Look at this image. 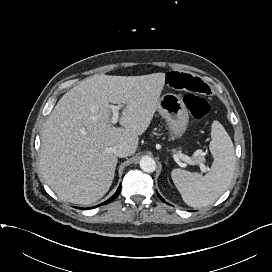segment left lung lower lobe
<instances>
[{"mask_svg":"<svg viewBox=\"0 0 272 272\" xmlns=\"http://www.w3.org/2000/svg\"><path fill=\"white\" fill-rule=\"evenodd\" d=\"M157 195H158V197L162 200V201H164L163 199H162V197L157 193Z\"/></svg>","mask_w":272,"mask_h":272,"instance_id":"obj_1","label":"left lung lower lobe"}]
</instances>
